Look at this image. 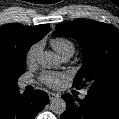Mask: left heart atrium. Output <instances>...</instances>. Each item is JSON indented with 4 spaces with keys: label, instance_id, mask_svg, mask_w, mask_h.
<instances>
[{
    "label": "left heart atrium",
    "instance_id": "obj_1",
    "mask_svg": "<svg viewBox=\"0 0 119 119\" xmlns=\"http://www.w3.org/2000/svg\"><path fill=\"white\" fill-rule=\"evenodd\" d=\"M66 78L67 76L65 74L57 72L47 71L41 75V81L50 87L59 86Z\"/></svg>",
    "mask_w": 119,
    "mask_h": 119
}]
</instances>
